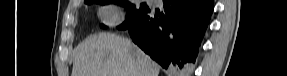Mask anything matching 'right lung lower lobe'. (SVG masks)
Here are the masks:
<instances>
[{
	"label": "right lung lower lobe",
	"mask_w": 287,
	"mask_h": 76,
	"mask_svg": "<svg viewBox=\"0 0 287 76\" xmlns=\"http://www.w3.org/2000/svg\"><path fill=\"white\" fill-rule=\"evenodd\" d=\"M165 12L147 13L128 32L146 54L163 68L176 70L194 63L200 37L204 36L213 12V0H163Z\"/></svg>",
	"instance_id": "obj_1"
}]
</instances>
